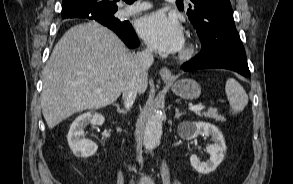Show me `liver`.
Instances as JSON below:
<instances>
[{"instance_id":"liver-1","label":"liver","mask_w":293,"mask_h":184,"mask_svg":"<svg viewBox=\"0 0 293 184\" xmlns=\"http://www.w3.org/2000/svg\"><path fill=\"white\" fill-rule=\"evenodd\" d=\"M133 58L119 37L99 23L70 28L43 69L41 108L48 127L74 113L114 103L133 77ZM146 88L147 77L139 93Z\"/></svg>"}]
</instances>
